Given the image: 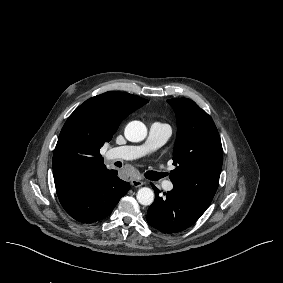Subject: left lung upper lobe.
<instances>
[{"label":"left lung upper lobe","instance_id":"obj_1","mask_svg":"<svg viewBox=\"0 0 283 283\" xmlns=\"http://www.w3.org/2000/svg\"><path fill=\"white\" fill-rule=\"evenodd\" d=\"M177 118V138L170 172L173 185L207 203L218 188L223 150L212 118L194 101L187 98L169 99Z\"/></svg>","mask_w":283,"mask_h":283}]
</instances>
